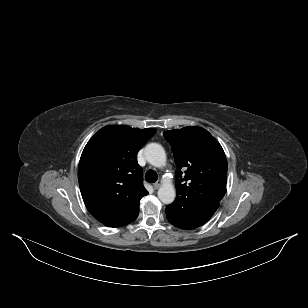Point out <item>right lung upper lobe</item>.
Wrapping results in <instances>:
<instances>
[{
  "label": "right lung upper lobe",
  "instance_id": "obj_1",
  "mask_svg": "<svg viewBox=\"0 0 308 308\" xmlns=\"http://www.w3.org/2000/svg\"><path fill=\"white\" fill-rule=\"evenodd\" d=\"M155 129L105 126L86 144L78 167V181L88 211L108 227H121L139 214L144 188L137 162L140 148Z\"/></svg>",
  "mask_w": 308,
  "mask_h": 308
}]
</instances>
